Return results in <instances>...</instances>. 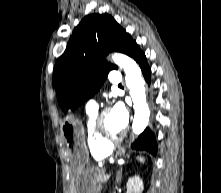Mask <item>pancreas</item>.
Returning a JSON list of instances; mask_svg holds the SVG:
<instances>
[{"label":"pancreas","mask_w":221,"mask_h":193,"mask_svg":"<svg viewBox=\"0 0 221 193\" xmlns=\"http://www.w3.org/2000/svg\"><path fill=\"white\" fill-rule=\"evenodd\" d=\"M105 171L106 170L104 168H100L96 170V174H95L96 193L102 189V185H103L102 178L105 175Z\"/></svg>","instance_id":"pancreas-1"}]
</instances>
